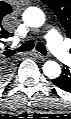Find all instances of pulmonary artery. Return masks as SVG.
Wrapping results in <instances>:
<instances>
[{"instance_id":"pulmonary-artery-1","label":"pulmonary artery","mask_w":71,"mask_h":119,"mask_svg":"<svg viewBox=\"0 0 71 119\" xmlns=\"http://www.w3.org/2000/svg\"><path fill=\"white\" fill-rule=\"evenodd\" d=\"M53 39V37H51ZM50 46L52 49H54L59 55L62 54V51L60 50V45L55 43L53 40L50 41Z\"/></svg>"}]
</instances>
